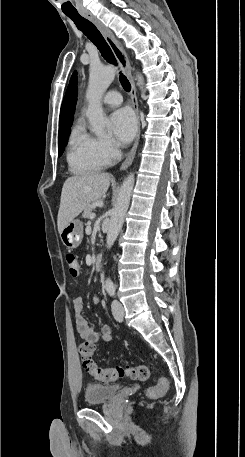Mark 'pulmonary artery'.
I'll list each match as a JSON object with an SVG mask.
<instances>
[{
	"instance_id": "e3ab8cb5",
	"label": "pulmonary artery",
	"mask_w": 245,
	"mask_h": 457,
	"mask_svg": "<svg viewBox=\"0 0 245 457\" xmlns=\"http://www.w3.org/2000/svg\"><path fill=\"white\" fill-rule=\"evenodd\" d=\"M100 101L103 104H109V105L117 106V105L121 104L122 98H121L119 93L112 91V92L107 93L105 96H103L100 99Z\"/></svg>"
}]
</instances>
